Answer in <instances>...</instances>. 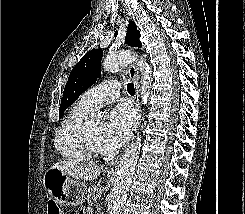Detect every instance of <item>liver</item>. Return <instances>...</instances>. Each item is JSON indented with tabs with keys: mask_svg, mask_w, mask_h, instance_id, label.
Wrapping results in <instances>:
<instances>
[{
	"mask_svg": "<svg viewBox=\"0 0 245 214\" xmlns=\"http://www.w3.org/2000/svg\"><path fill=\"white\" fill-rule=\"evenodd\" d=\"M51 168L58 169L71 177L84 181H91L97 178L101 173V169L97 166H80L73 161L57 162Z\"/></svg>",
	"mask_w": 245,
	"mask_h": 214,
	"instance_id": "1",
	"label": "liver"
}]
</instances>
